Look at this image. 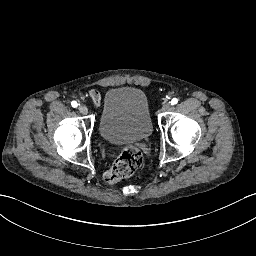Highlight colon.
<instances>
[{
  "mask_svg": "<svg viewBox=\"0 0 256 256\" xmlns=\"http://www.w3.org/2000/svg\"><path fill=\"white\" fill-rule=\"evenodd\" d=\"M144 163L141 150L135 146H127L116 157L113 166L104 174L107 183H115L124 177L132 176Z\"/></svg>",
  "mask_w": 256,
  "mask_h": 256,
  "instance_id": "5ec220e1",
  "label": "colon"
}]
</instances>
